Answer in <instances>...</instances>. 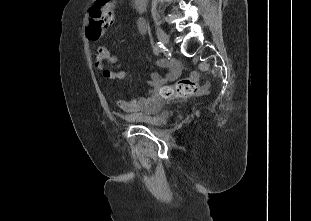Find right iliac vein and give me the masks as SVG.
Instances as JSON below:
<instances>
[{"mask_svg":"<svg viewBox=\"0 0 311 221\" xmlns=\"http://www.w3.org/2000/svg\"><path fill=\"white\" fill-rule=\"evenodd\" d=\"M157 36H158L159 41H160L163 45H165V46H168V45H169V37H168V35L165 33V31H164L162 28H160V27L157 28Z\"/></svg>","mask_w":311,"mask_h":221,"instance_id":"63e3f726","label":"right iliac vein"}]
</instances>
